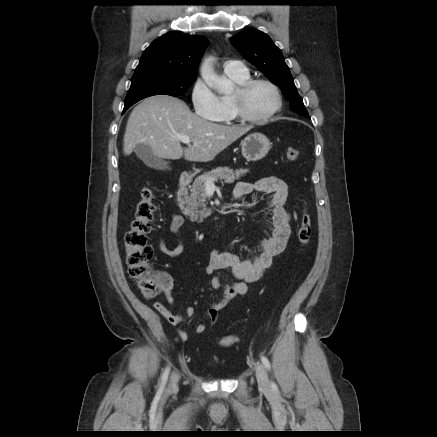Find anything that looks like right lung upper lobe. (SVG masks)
<instances>
[{"mask_svg": "<svg viewBox=\"0 0 437 437\" xmlns=\"http://www.w3.org/2000/svg\"><path fill=\"white\" fill-rule=\"evenodd\" d=\"M207 45L204 36L169 32L144 51L135 72L156 69L171 75L195 76Z\"/></svg>", "mask_w": 437, "mask_h": 437, "instance_id": "1", "label": "right lung upper lobe"}]
</instances>
